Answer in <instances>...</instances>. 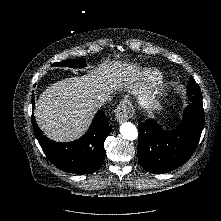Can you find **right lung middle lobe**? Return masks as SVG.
<instances>
[{"instance_id": "right-lung-middle-lobe-1", "label": "right lung middle lobe", "mask_w": 221, "mask_h": 221, "mask_svg": "<svg viewBox=\"0 0 221 221\" xmlns=\"http://www.w3.org/2000/svg\"><path fill=\"white\" fill-rule=\"evenodd\" d=\"M85 65H86L85 61L77 59L64 60L62 62H57L53 64V66H63V67H72V68H81L84 67Z\"/></svg>"}]
</instances>
